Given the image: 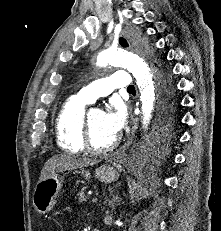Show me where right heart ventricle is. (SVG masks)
<instances>
[{"instance_id": "e07e8e85", "label": "right heart ventricle", "mask_w": 221, "mask_h": 231, "mask_svg": "<svg viewBox=\"0 0 221 231\" xmlns=\"http://www.w3.org/2000/svg\"><path fill=\"white\" fill-rule=\"evenodd\" d=\"M87 102L78 96L68 98L55 122L56 141L60 149L79 153L85 150L82 140V121Z\"/></svg>"}]
</instances>
